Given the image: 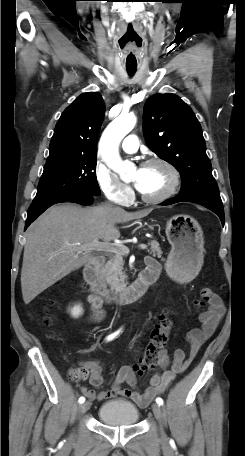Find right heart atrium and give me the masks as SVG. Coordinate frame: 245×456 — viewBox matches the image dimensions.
I'll list each match as a JSON object with an SVG mask.
<instances>
[{
    "mask_svg": "<svg viewBox=\"0 0 245 456\" xmlns=\"http://www.w3.org/2000/svg\"><path fill=\"white\" fill-rule=\"evenodd\" d=\"M94 177L102 194L110 201L127 205L132 199L131 188L123 183L104 164L97 162L94 167Z\"/></svg>",
    "mask_w": 245,
    "mask_h": 456,
    "instance_id": "1",
    "label": "right heart atrium"
}]
</instances>
